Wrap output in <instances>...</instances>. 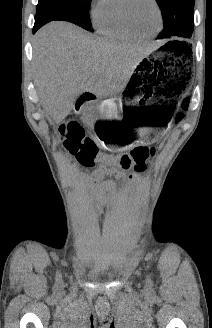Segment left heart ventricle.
Instances as JSON below:
<instances>
[{
	"label": "left heart ventricle",
	"instance_id": "left-heart-ventricle-1",
	"mask_svg": "<svg viewBox=\"0 0 212 328\" xmlns=\"http://www.w3.org/2000/svg\"><path fill=\"white\" fill-rule=\"evenodd\" d=\"M131 16L136 26L145 32L151 33L159 26V16L151 0H135Z\"/></svg>",
	"mask_w": 212,
	"mask_h": 328
}]
</instances>
